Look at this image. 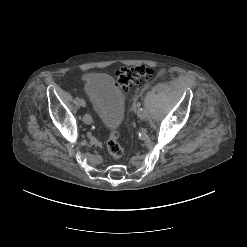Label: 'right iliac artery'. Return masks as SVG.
Here are the masks:
<instances>
[{
	"instance_id": "obj_1",
	"label": "right iliac artery",
	"mask_w": 247,
	"mask_h": 247,
	"mask_svg": "<svg viewBox=\"0 0 247 247\" xmlns=\"http://www.w3.org/2000/svg\"><path fill=\"white\" fill-rule=\"evenodd\" d=\"M79 105H80V107H82V108H86V107H87V104H86L85 100H83V99L80 100Z\"/></svg>"
}]
</instances>
